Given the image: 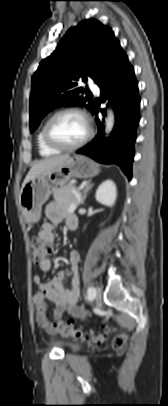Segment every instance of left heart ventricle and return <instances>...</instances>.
<instances>
[{"mask_svg":"<svg viewBox=\"0 0 168 406\" xmlns=\"http://www.w3.org/2000/svg\"><path fill=\"white\" fill-rule=\"evenodd\" d=\"M87 132L85 120L76 113L58 116L51 124L50 134L60 144H74Z\"/></svg>","mask_w":168,"mask_h":406,"instance_id":"left-heart-ventricle-1","label":"left heart ventricle"}]
</instances>
